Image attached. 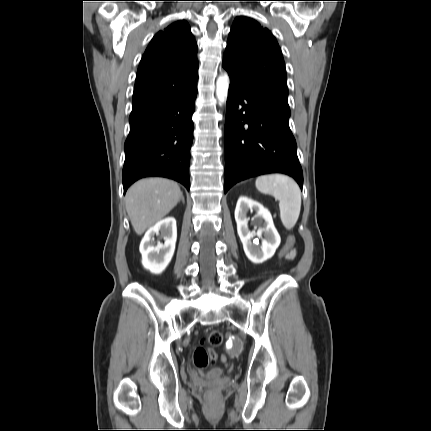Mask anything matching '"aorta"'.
<instances>
[{"mask_svg": "<svg viewBox=\"0 0 431 431\" xmlns=\"http://www.w3.org/2000/svg\"><path fill=\"white\" fill-rule=\"evenodd\" d=\"M229 88V77L224 74L218 77L216 81V96L220 103H224L227 98Z\"/></svg>", "mask_w": 431, "mask_h": 431, "instance_id": "1", "label": "aorta"}]
</instances>
